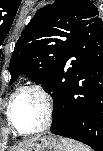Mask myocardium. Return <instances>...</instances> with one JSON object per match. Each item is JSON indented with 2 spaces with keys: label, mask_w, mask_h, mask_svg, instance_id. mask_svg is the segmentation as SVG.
<instances>
[{
  "label": "myocardium",
  "mask_w": 103,
  "mask_h": 151,
  "mask_svg": "<svg viewBox=\"0 0 103 151\" xmlns=\"http://www.w3.org/2000/svg\"><path fill=\"white\" fill-rule=\"evenodd\" d=\"M26 92L34 93L35 95H37L39 97V99L42 102L43 109H44V118H43L42 124L39 127H37L36 129H33L31 131H25L24 132V131H21L16 126V124L13 120V117H12V109H13V106H14L16 99L21 94L26 93ZM53 110H54V107H53L52 97L42 86H40V85H27V86H23V87H20L19 89H17L14 92V94L11 96L9 103H8L6 115H7V119L9 121L11 127L13 128V130L19 135L27 136V135L39 133V132L47 129L48 126L50 125L51 121H52Z\"/></svg>",
  "instance_id": "myocardium-1"
}]
</instances>
